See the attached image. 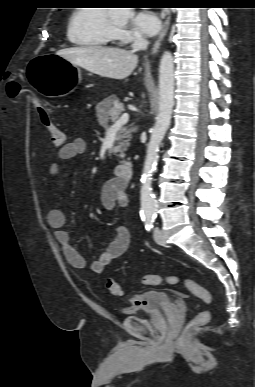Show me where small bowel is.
<instances>
[{"label": "small bowel", "instance_id": "obj_1", "mask_svg": "<svg viewBox=\"0 0 255 387\" xmlns=\"http://www.w3.org/2000/svg\"><path fill=\"white\" fill-rule=\"evenodd\" d=\"M87 150V142L84 138H74L67 142L57 151V157L62 161H68L84 154ZM59 167L56 163L49 165L48 173L55 177ZM101 203L104 208L112 210L117 205L127 203L126 183L119 178H112L104 183L101 190ZM47 221L54 230V236L60 244L67 262L77 268L84 269L87 266L85 258L75 248L69 233L65 230L66 217L61 209L53 208L47 213ZM131 241L130 232L125 226H118L115 229V237L108 247L100 253L99 257L93 261L89 268L93 273L100 274L116 258L121 257L128 250ZM139 300L133 299L132 303Z\"/></svg>", "mask_w": 255, "mask_h": 387}]
</instances>
